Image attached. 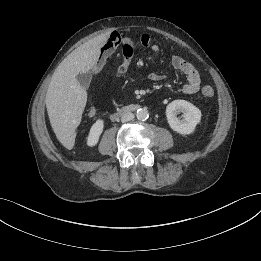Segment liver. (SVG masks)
Here are the masks:
<instances>
[{
  "mask_svg": "<svg viewBox=\"0 0 261 261\" xmlns=\"http://www.w3.org/2000/svg\"><path fill=\"white\" fill-rule=\"evenodd\" d=\"M110 33L101 34L70 53L56 69L46 93V108L57 139L72 146L87 102V92L76 79L92 69Z\"/></svg>",
  "mask_w": 261,
  "mask_h": 261,
  "instance_id": "liver-1",
  "label": "liver"
}]
</instances>
